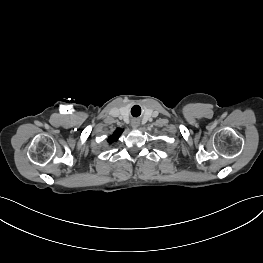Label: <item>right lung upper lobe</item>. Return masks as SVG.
I'll list each match as a JSON object with an SVG mask.
<instances>
[{
	"label": "right lung upper lobe",
	"mask_w": 263,
	"mask_h": 263,
	"mask_svg": "<svg viewBox=\"0 0 263 263\" xmlns=\"http://www.w3.org/2000/svg\"><path fill=\"white\" fill-rule=\"evenodd\" d=\"M122 131H123L122 129L118 128V129L114 132V134L109 137L108 142H109V143H112V142L116 141V140L119 138V136H120V134L122 133Z\"/></svg>",
	"instance_id": "cb5924a9"
}]
</instances>
